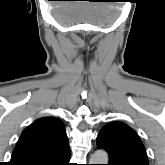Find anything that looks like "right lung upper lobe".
<instances>
[{"mask_svg": "<svg viewBox=\"0 0 165 165\" xmlns=\"http://www.w3.org/2000/svg\"><path fill=\"white\" fill-rule=\"evenodd\" d=\"M67 141L61 120L54 117L37 119L22 132L13 150L10 165H37Z\"/></svg>", "mask_w": 165, "mask_h": 165, "instance_id": "cb5924a9", "label": "right lung upper lobe"}]
</instances>
